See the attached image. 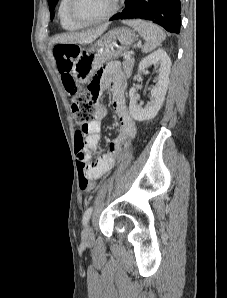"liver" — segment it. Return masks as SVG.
<instances>
[{
    "label": "liver",
    "mask_w": 227,
    "mask_h": 298,
    "mask_svg": "<svg viewBox=\"0 0 227 298\" xmlns=\"http://www.w3.org/2000/svg\"><path fill=\"white\" fill-rule=\"evenodd\" d=\"M107 27V25H103L93 31L58 35L52 39L51 44H90L100 37Z\"/></svg>",
    "instance_id": "6515ba94"
}]
</instances>
